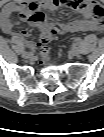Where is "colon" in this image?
Listing matches in <instances>:
<instances>
[{"mask_svg": "<svg viewBox=\"0 0 104 137\" xmlns=\"http://www.w3.org/2000/svg\"><path fill=\"white\" fill-rule=\"evenodd\" d=\"M46 14L41 11H37L33 14L31 20L35 23H42L46 20ZM58 34L57 30L53 27H50L42 31L41 38L39 40V48L43 56H46L48 53V43L53 40Z\"/></svg>", "mask_w": 104, "mask_h": 137, "instance_id": "obj_1", "label": "colon"}]
</instances>
